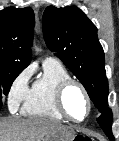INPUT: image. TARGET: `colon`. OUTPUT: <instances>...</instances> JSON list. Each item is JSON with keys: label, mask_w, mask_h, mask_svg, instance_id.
Instances as JSON below:
<instances>
[{"label": "colon", "mask_w": 119, "mask_h": 141, "mask_svg": "<svg viewBox=\"0 0 119 141\" xmlns=\"http://www.w3.org/2000/svg\"><path fill=\"white\" fill-rule=\"evenodd\" d=\"M74 141H90V139L82 135H78L75 137Z\"/></svg>", "instance_id": "obj_1"}]
</instances>
